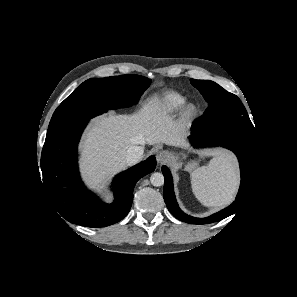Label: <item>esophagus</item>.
<instances>
[{
	"mask_svg": "<svg viewBox=\"0 0 297 297\" xmlns=\"http://www.w3.org/2000/svg\"><path fill=\"white\" fill-rule=\"evenodd\" d=\"M170 158V153L168 151H160L156 155V160L159 164L166 163Z\"/></svg>",
	"mask_w": 297,
	"mask_h": 297,
	"instance_id": "obj_1",
	"label": "esophagus"
}]
</instances>
